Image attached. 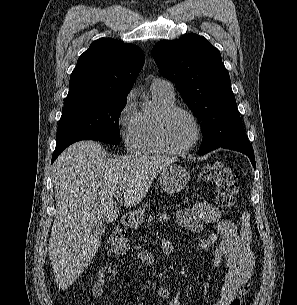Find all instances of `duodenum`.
<instances>
[{
    "label": "duodenum",
    "instance_id": "410a0bca",
    "mask_svg": "<svg viewBox=\"0 0 297 305\" xmlns=\"http://www.w3.org/2000/svg\"><path fill=\"white\" fill-rule=\"evenodd\" d=\"M122 223L127 227H135L138 221L134 215L127 214L122 217Z\"/></svg>",
    "mask_w": 297,
    "mask_h": 305
}]
</instances>
